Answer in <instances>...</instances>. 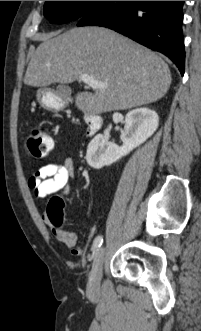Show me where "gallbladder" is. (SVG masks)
Segmentation results:
<instances>
[{
  "mask_svg": "<svg viewBox=\"0 0 201 331\" xmlns=\"http://www.w3.org/2000/svg\"><path fill=\"white\" fill-rule=\"evenodd\" d=\"M56 94L64 99H67L71 94V90L67 85L61 84L57 87Z\"/></svg>",
  "mask_w": 201,
  "mask_h": 331,
  "instance_id": "obj_1",
  "label": "gallbladder"
}]
</instances>
